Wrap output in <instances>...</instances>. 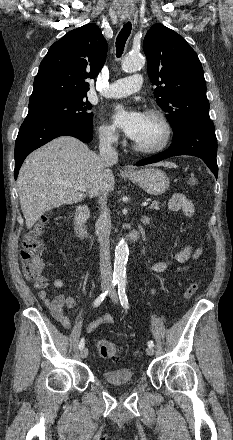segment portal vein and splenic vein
<instances>
[{"instance_id": "obj_1", "label": "portal vein and splenic vein", "mask_w": 233, "mask_h": 440, "mask_svg": "<svg viewBox=\"0 0 233 440\" xmlns=\"http://www.w3.org/2000/svg\"><path fill=\"white\" fill-rule=\"evenodd\" d=\"M72 186H73L74 189H76L78 191H83V192L86 191L85 187L82 186V185L73 184ZM147 205H148V202H143L142 203V206H147Z\"/></svg>"}]
</instances>
